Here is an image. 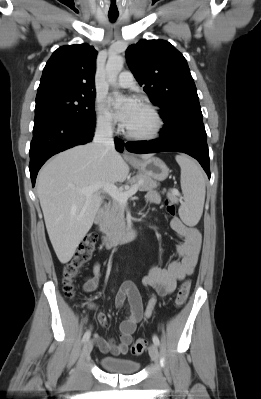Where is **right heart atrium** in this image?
Instances as JSON below:
<instances>
[{"label": "right heart atrium", "instance_id": "obj_1", "mask_svg": "<svg viewBox=\"0 0 261 399\" xmlns=\"http://www.w3.org/2000/svg\"><path fill=\"white\" fill-rule=\"evenodd\" d=\"M96 112L97 128L106 134L113 133L115 130L114 118L101 101H99L97 104Z\"/></svg>", "mask_w": 261, "mask_h": 399}]
</instances>
